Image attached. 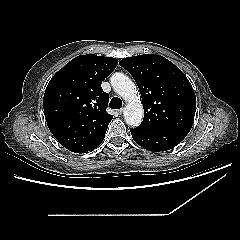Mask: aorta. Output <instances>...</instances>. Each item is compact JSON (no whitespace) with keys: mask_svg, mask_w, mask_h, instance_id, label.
<instances>
[{"mask_svg":"<svg viewBox=\"0 0 240 240\" xmlns=\"http://www.w3.org/2000/svg\"><path fill=\"white\" fill-rule=\"evenodd\" d=\"M110 82L115 92L128 102L124 109L125 122L137 127L142 122L144 111L135 84L123 73H114Z\"/></svg>","mask_w":240,"mask_h":240,"instance_id":"aorta-1","label":"aorta"}]
</instances>
